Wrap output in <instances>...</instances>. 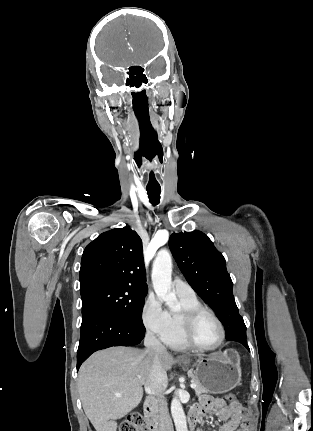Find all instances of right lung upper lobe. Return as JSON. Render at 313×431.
Listing matches in <instances>:
<instances>
[{
	"label": "right lung upper lobe",
	"instance_id": "1",
	"mask_svg": "<svg viewBox=\"0 0 313 431\" xmlns=\"http://www.w3.org/2000/svg\"><path fill=\"white\" fill-rule=\"evenodd\" d=\"M117 286H130L147 292L142 241L129 227L102 233L86 246L82 255V297Z\"/></svg>",
	"mask_w": 313,
	"mask_h": 431
}]
</instances>
